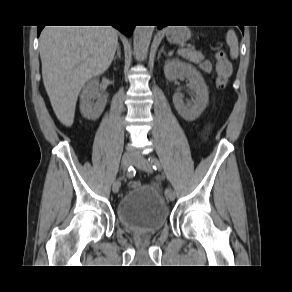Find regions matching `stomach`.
Returning <instances> with one entry per match:
<instances>
[{
  "mask_svg": "<svg viewBox=\"0 0 292 292\" xmlns=\"http://www.w3.org/2000/svg\"><path fill=\"white\" fill-rule=\"evenodd\" d=\"M166 37L172 43H184L190 38V32L184 27H170L167 29Z\"/></svg>",
  "mask_w": 292,
  "mask_h": 292,
  "instance_id": "0dacf381",
  "label": "stomach"
}]
</instances>
